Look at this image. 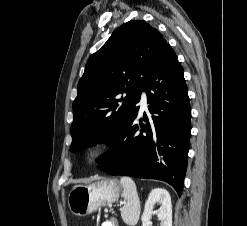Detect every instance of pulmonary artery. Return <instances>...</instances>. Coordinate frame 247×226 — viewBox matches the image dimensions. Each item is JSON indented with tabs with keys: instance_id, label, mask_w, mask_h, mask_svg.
Masks as SVG:
<instances>
[{
	"instance_id": "pulmonary-artery-1",
	"label": "pulmonary artery",
	"mask_w": 247,
	"mask_h": 226,
	"mask_svg": "<svg viewBox=\"0 0 247 226\" xmlns=\"http://www.w3.org/2000/svg\"><path fill=\"white\" fill-rule=\"evenodd\" d=\"M140 105L143 110L146 109L147 107V96L145 92H143L141 95Z\"/></svg>"
}]
</instances>
